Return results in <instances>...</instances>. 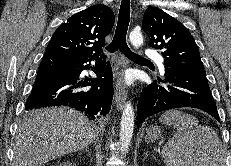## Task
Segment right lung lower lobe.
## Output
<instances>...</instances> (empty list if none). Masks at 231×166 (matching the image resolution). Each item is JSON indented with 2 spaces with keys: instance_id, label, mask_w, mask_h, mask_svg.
Instances as JSON below:
<instances>
[{
  "instance_id": "1",
  "label": "right lung lower lobe",
  "mask_w": 231,
  "mask_h": 166,
  "mask_svg": "<svg viewBox=\"0 0 231 166\" xmlns=\"http://www.w3.org/2000/svg\"><path fill=\"white\" fill-rule=\"evenodd\" d=\"M96 61L97 78H82L81 72ZM113 76L110 63L100 57H66L44 54L26 110L65 105L84 111L91 119L109 113L113 99Z\"/></svg>"
}]
</instances>
